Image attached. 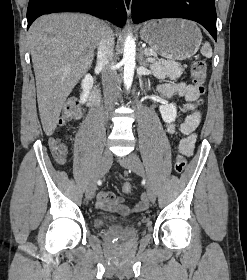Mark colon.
<instances>
[{"label":"colon","mask_w":247,"mask_h":280,"mask_svg":"<svg viewBox=\"0 0 247 280\" xmlns=\"http://www.w3.org/2000/svg\"><path fill=\"white\" fill-rule=\"evenodd\" d=\"M191 78L194 86L198 90L199 94L204 92V82L206 78V64L203 61H196L191 67ZM199 104H202V99L198 100ZM79 110L77 101H69L64 108L62 116L59 120V126H64L68 121L78 117ZM50 148L57 160L63 161L66 158L67 148L63 139L52 138L50 140ZM186 159L182 154H178L175 158L174 169L177 173L183 172L186 167ZM122 191L125 194H131L133 191V186L125 182L122 184Z\"/></svg>","instance_id":"colon-1"}]
</instances>
